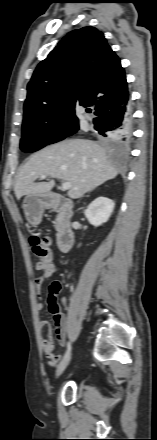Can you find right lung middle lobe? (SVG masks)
Segmentation results:
<instances>
[{"mask_svg":"<svg viewBox=\"0 0 157 440\" xmlns=\"http://www.w3.org/2000/svg\"><path fill=\"white\" fill-rule=\"evenodd\" d=\"M78 130L76 123H46L30 122L22 127L20 149L24 152L37 151L48 144L63 140ZM107 142H114L110 137H104Z\"/></svg>","mask_w":157,"mask_h":440,"instance_id":"dd1d6c3e","label":"right lung middle lobe"}]
</instances>
